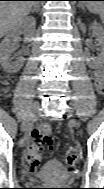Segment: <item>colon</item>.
I'll use <instances>...</instances> for the list:
<instances>
[{"label": "colon", "mask_w": 104, "mask_h": 189, "mask_svg": "<svg viewBox=\"0 0 104 189\" xmlns=\"http://www.w3.org/2000/svg\"><path fill=\"white\" fill-rule=\"evenodd\" d=\"M52 128L49 124H40L32 132V143L27 150L26 164L30 170H36L41 162L43 152L51 147ZM79 160V150L76 146H69L65 154V162L73 167Z\"/></svg>", "instance_id": "obj_1"}]
</instances>
